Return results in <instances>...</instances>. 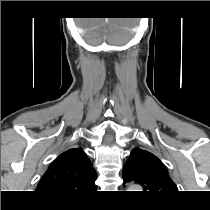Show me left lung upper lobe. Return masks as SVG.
<instances>
[{
    "label": "left lung upper lobe",
    "mask_w": 210,
    "mask_h": 210,
    "mask_svg": "<svg viewBox=\"0 0 210 210\" xmlns=\"http://www.w3.org/2000/svg\"><path fill=\"white\" fill-rule=\"evenodd\" d=\"M124 181H135L144 192L154 196H167L177 192L166 166L152 153L134 148L123 168Z\"/></svg>",
    "instance_id": "left-lung-upper-lobe-1"
}]
</instances>
